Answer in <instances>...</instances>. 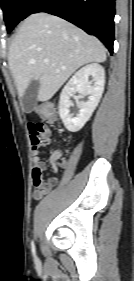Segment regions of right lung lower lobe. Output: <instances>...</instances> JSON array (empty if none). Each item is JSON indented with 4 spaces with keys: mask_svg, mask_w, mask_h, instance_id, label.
I'll return each instance as SVG.
<instances>
[{
    "mask_svg": "<svg viewBox=\"0 0 134 281\" xmlns=\"http://www.w3.org/2000/svg\"><path fill=\"white\" fill-rule=\"evenodd\" d=\"M36 12H46L75 24L98 37L113 53L115 0H34L26 15Z\"/></svg>",
    "mask_w": 134,
    "mask_h": 281,
    "instance_id": "obj_1",
    "label": "right lung lower lobe"
}]
</instances>
